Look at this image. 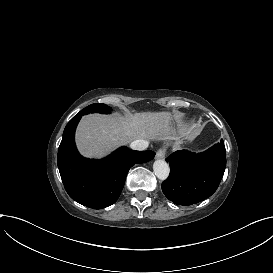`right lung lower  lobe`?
Masks as SVG:
<instances>
[{"instance_id":"98d812e1","label":"right lung lower lobe","mask_w":273,"mask_h":273,"mask_svg":"<svg viewBox=\"0 0 273 273\" xmlns=\"http://www.w3.org/2000/svg\"><path fill=\"white\" fill-rule=\"evenodd\" d=\"M82 115L76 114L66 125L58 149V168L65 190L76 202L102 209L115 203L134 164L153 159V151L121 147L101 160L83 158L77 151L74 134Z\"/></svg>"}]
</instances>
